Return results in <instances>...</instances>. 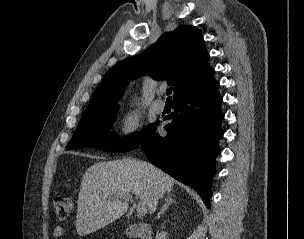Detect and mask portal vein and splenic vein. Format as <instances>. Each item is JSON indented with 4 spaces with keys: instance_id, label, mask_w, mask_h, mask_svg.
I'll return each instance as SVG.
<instances>
[{
    "instance_id": "obj_1",
    "label": "portal vein and splenic vein",
    "mask_w": 304,
    "mask_h": 239,
    "mask_svg": "<svg viewBox=\"0 0 304 239\" xmlns=\"http://www.w3.org/2000/svg\"><path fill=\"white\" fill-rule=\"evenodd\" d=\"M116 199L125 200V201H133V197L130 193H119L114 196ZM147 212L146 205L142 202L137 204V214L138 216H144Z\"/></svg>"
}]
</instances>
